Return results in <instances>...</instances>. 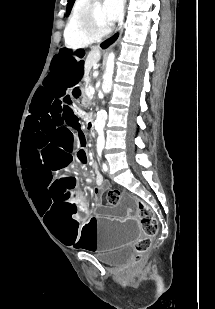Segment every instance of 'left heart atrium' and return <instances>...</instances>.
<instances>
[{
	"instance_id": "left-heart-atrium-1",
	"label": "left heart atrium",
	"mask_w": 215,
	"mask_h": 309,
	"mask_svg": "<svg viewBox=\"0 0 215 309\" xmlns=\"http://www.w3.org/2000/svg\"><path fill=\"white\" fill-rule=\"evenodd\" d=\"M121 0H106V7H108L102 14L100 19L95 20H114L119 18L120 12L125 11V6L120 5Z\"/></svg>"
}]
</instances>
